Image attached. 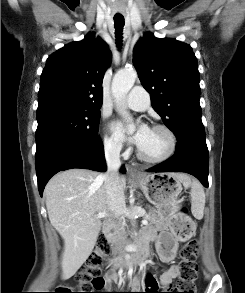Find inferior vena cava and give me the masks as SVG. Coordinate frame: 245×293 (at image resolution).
<instances>
[{
	"label": "inferior vena cava",
	"instance_id": "1",
	"mask_svg": "<svg viewBox=\"0 0 245 293\" xmlns=\"http://www.w3.org/2000/svg\"><path fill=\"white\" fill-rule=\"evenodd\" d=\"M107 172L104 175L109 206L116 215L122 214L125 208L124 193L119 185L120 148L116 145L105 146Z\"/></svg>",
	"mask_w": 245,
	"mask_h": 293
}]
</instances>
